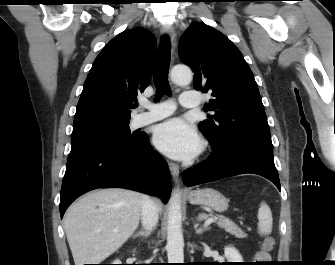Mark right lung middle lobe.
<instances>
[{
    "mask_svg": "<svg viewBox=\"0 0 335 265\" xmlns=\"http://www.w3.org/2000/svg\"><path fill=\"white\" fill-rule=\"evenodd\" d=\"M127 122H96L73 127L71 149L88 145H120L134 142L140 134H131Z\"/></svg>",
    "mask_w": 335,
    "mask_h": 265,
    "instance_id": "obj_1",
    "label": "right lung middle lobe"
}]
</instances>
